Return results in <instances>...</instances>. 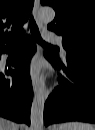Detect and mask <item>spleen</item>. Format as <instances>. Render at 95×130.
Returning <instances> with one entry per match:
<instances>
[{
	"instance_id": "obj_1",
	"label": "spleen",
	"mask_w": 95,
	"mask_h": 130,
	"mask_svg": "<svg viewBox=\"0 0 95 130\" xmlns=\"http://www.w3.org/2000/svg\"><path fill=\"white\" fill-rule=\"evenodd\" d=\"M60 130H95V127L88 123L72 121L59 126Z\"/></svg>"
}]
</instances>
